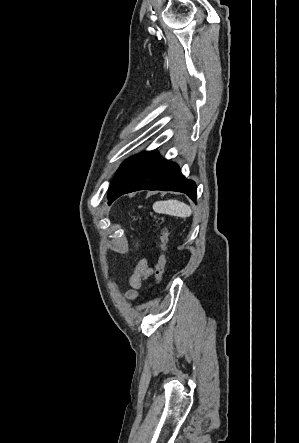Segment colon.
<instances>
[{
  "label": "colon",
  "instance_id": "obj_1",
  "mask_svg": "<svg viewBox=\"0 0 299 443\" xmlns=\"http://www.w3.org/2000/svg\"><path fill=\"white\" fill-rule=\"evenodd\" d=\"M160 254L155 268L157 284H160L167 266V252L169 241V229L166 225H162L160 229Z\"/></svg>",
  "mask_w": 299,
  "mask_h": 443
}]
</instances>
